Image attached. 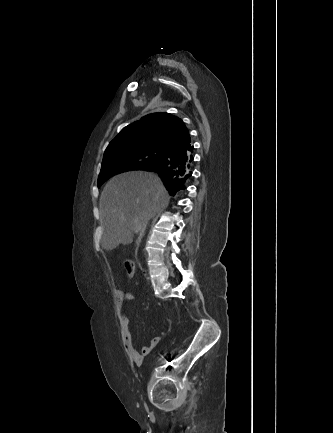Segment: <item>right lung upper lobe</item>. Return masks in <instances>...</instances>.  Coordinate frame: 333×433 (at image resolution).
Masks as SVG:
<instances>
[{"instance_id": "1", "label": "right lung upper lobe", "mask_w": 333, "mask_h": 433, "mask_svg": "<svg viewBox=\"0 0 333 433\" xmlns=\"http://www.w3.org/2000/svg\"><path fill=\"white\" fill-rule=\"evenodd\" d=\"M190 143L182 119L166 112L152 113L123 128L108 145L104 157L126 148H156L169 153Z\"/></svg>"}]
</instances>
